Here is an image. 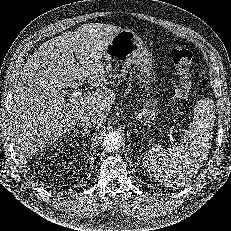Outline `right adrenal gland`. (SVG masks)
<instances>
[{
	"instance_id": "right-adrenal-gland-1",
	"label": "right adrenal gland",
	"mask_w": 231,
	"mask_h": 231,
	"mask_svg": "<svg viewBox=\"0 0 231 231\" xmlns=\"http://www.w3.org/2000/svg\"><path fill=\"white\" fill-rule=\"evenodd\" d=\"M74 136L76 135V136H78V135H82V137H84V136H86L87 134H89L90 133V131L89 130H84V131H82V130H74Z\"/></svg>"
}]
</instances>
